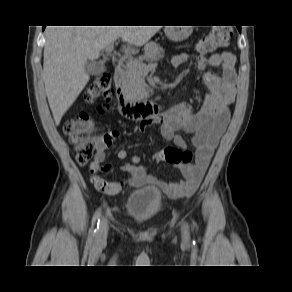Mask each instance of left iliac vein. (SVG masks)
I'll use <instances>...</instances> for the list:
<instances>
[{
  "instance_id": "1",
  "label": "left iliac vein",
  "mask_w": 292,
  "mask_h": 292,
  "mask_svg": "<svg viewBox=\"0 0 292 292\" xmlns=\"http://www.w3.org/2000/svg\"><path fill=\"white\" fill-rule=\"evenodd\" d=\"M182 235L184 240L188 239V230L185 225L182 226Z\"/></svg>"
}]
</instances>
